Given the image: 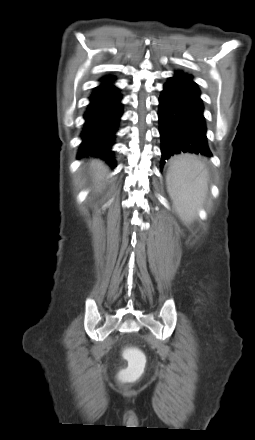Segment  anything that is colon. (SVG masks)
Listing matches in <instances>:
<instances>
[{"instance_id": "colon-1", "label": "colon", "mask_w": 255, "mask_h": 440, "mask_svg": "<svg viewBox=\"0 0 255 440\" xmlns=\"http://www.w3.org/2000/svg\"><path fill=\"white\" fill-rule=\"evenodd\" d=\"M123 356L129 362V367L123 372L122 377L126 381L135 380L142 372V354L135 347H127L123 352Z\"/></svg>"}]
</instances>
